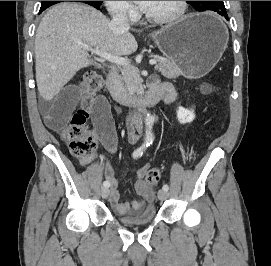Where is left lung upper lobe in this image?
I'll return each mask as SVG.
<instances>
[{
	"mask_svg": "<svg viewBox=\"0 0 271 266\" xmlns=\"http://www.w3.org/2000/svg\"><path fill=\"white\" fill-rule=\"evenodd\" d=\"M197 11L226 12L223 1H187Z\"/></svg>",
	"mask_w": 271,
	"mask_h": 266,
	"instance_id": "left-lung-upper-lobe-1",
	"label": "left lung upper lobe"
}]
</instances>
